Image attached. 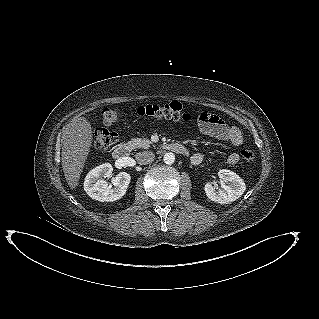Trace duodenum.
Returning <instances> with one entry per match:
<instances>
[{
  "mask_svg": "<svg viewBox=\"0 0 319 319\" xmlns=\"http://www.w3.org/2000/svg\"><path fill=\"white\" fill-rule=\"evenodd\" d=\"M165 148L169 151L175 152V153H179V154H187V149L179 144V143H167L165 145ZM130 151V146L128 143H121L119 144L117 147L114 148L113 150V158L116 160H120L125 158Z\"/></svg>",
  "mask_w": 319,
  "mask_h": 319,
  "instance_id": "1",
  "label": "duodenum"
}]
</instances>
